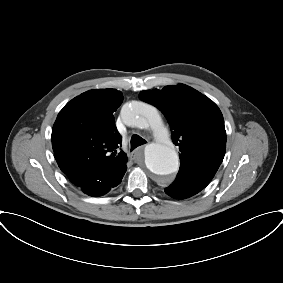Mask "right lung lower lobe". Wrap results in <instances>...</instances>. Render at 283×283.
<instances>
[{"instance_id":"right-lung-lower-lobe-1","label":"right lung lower lobe","mask_w":283,"mask_h":283,"mask_svg":"<svg viewBox=\"0 0 283 283\" xmlns=\"http://www.w3.org/2000/svg\"><path fill=\"white\" fill-rule=\"evenodd\" d=\"M107 176L108 175L106 173H104V174H102L101 179L103 180V177H107ZM122 178L123 177H121L120 179H116L115 181H113L111 183H104L100 180L94 179V180H91V181L87 182L86 184H84L81 187V189L83 190L84 193H86L90 196H94V197L101 196V195L106 194L111 188L119 185L121 183Z\"/></svg>"}]
</instances>
